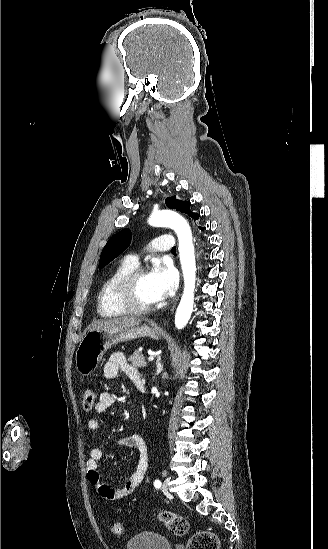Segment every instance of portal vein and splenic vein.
<instances>
[{
    "instance_id": "portal-vein-and-splenic-vein-1",
    "label": "portal vein and splenic vein",
    "mask_w": 328,
    "mask_h": 549,
    "mask_svg": "<svg viewBox=\"0 0 328 549\" xmlns=\"http://www.w3.org/2000/svg\"><path fill=\"white\" fill-rule=\"evenodd\" d=\"M149 361H154V356H148Z\"/></svg>"
}]
</instances>
